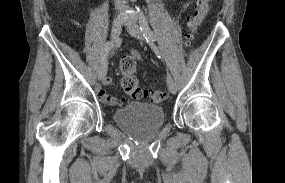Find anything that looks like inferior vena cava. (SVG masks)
<instances>
[{
	"label": "inferior vena cava",
	"instance_id": "inferior-vena-cava-1",
	"mask_svg": "<svg viewBox=\"0 0 285 183\" xmlns=\"http://www.w3.org/2000/svg\"><path fill=\"white\" fill-rule=\"evenodd\" d=\"M115 5L118 11H122L125 7L123 0H115Z\"/></svg>",
	"mask_w": 285,
	"mask_h": 183
}]
</instances>
